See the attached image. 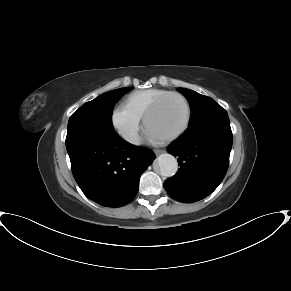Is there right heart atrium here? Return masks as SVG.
Returning <instances> with one entry per match:
<instances>
[{"mask_svg":"<svg viewBox=\"0 0 291 291\" xmlns=\"http://www.w3.org/2000/svg\"><path fill=\"white\" fill-rule=\"evenodd\" d=\"M141 119L137 113L124 104L117 105L111 117L113 127L124 140L130 143L137 140Z\"/></svg>","mask_w":291,"mask_h":291,"instance_id":"obj_1","label":"right heart atrium"}]
</instances>
